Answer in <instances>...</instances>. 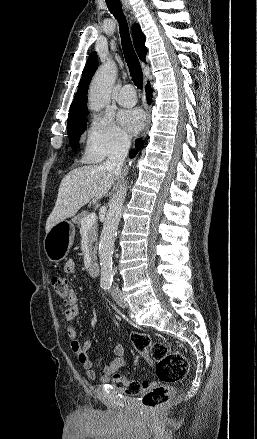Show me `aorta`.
<instances>
[{"mask_svg": "<svg viewBox=\"0 0 257 439\" xmlns=\"http://www.w3.org/2000/svg\"><path fill=\"white\" fill-rule=\"evenodd\" d=\"M117 68L112 61H108L93 78L89 91V109L99 112L110 100V93L115 81ZM127 186L123 185L112 197L99 241V259L102 285H109L113 281L112 255L114 241L121 220L123 204Z\"/></svg>", "mask_w": 257, "mask_h": 439, "instance_id": "aorta-1", "label": "aorta"}]
</instances>
